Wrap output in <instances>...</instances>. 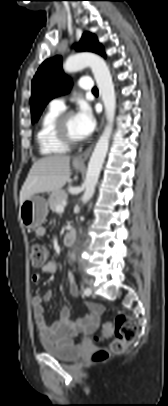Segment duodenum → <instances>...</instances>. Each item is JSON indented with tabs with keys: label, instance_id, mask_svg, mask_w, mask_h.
<instances>
[{
	"label": "duodenum",
	"instance_id": "1",
	"mask_svg": "<svg viewBox=\"0 0 168 406\" xmlns=\"http://www.w3.org/2000/svg\"><path fill=\"white\" fill-rule=\"evenodd\" d=\"M77 238V233L74 227L69 228L63 238V243L67 246H71L75 243Z\"/></svg>",
	"mask_w": 168,
	"mask_h": 406
}]
</instances>
